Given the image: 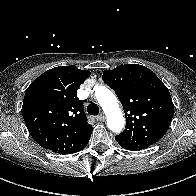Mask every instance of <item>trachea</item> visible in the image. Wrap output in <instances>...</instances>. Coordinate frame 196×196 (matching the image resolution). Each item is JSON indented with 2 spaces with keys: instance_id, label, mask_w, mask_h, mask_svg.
<instances>
[{
  "instance_id": "3493384b",
  "label": "trachea",
  "mask_w": 196,
  "mask_h": 196,
  "mask_svg": "<svg viewBox=\"0 0 196 196\" xmlns=\"http://www.w3.org/2000/svg\"><path fill=\"white\" fill-rule=\"evenodd\" d=\"M87 112H88L90 115L97 116V115L99 114V108H98L97 104H95V103H90V104L87 106Z\"/></svg>"
}]
</instances>
